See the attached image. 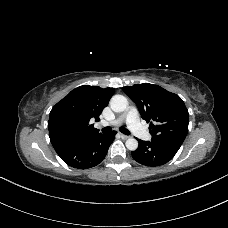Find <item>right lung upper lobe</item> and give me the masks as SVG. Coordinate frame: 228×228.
<instances>
[{"label":"right lung upper lobe","mask_w":228,"mask_h":228,"mask_svg":"<svg viewBox=\"0 0 228 228\" xmlns=\"http://www.w3.org/2000/svg\"><path fill=\"white\" fill-rule=\"evenodd\" d=\"M113 94L114 88L88 85L72 90L50 112L48 129L52 145L99 134L89 121L91 118L99 119Z\"/></svg>","instance_id":"right-lung-upper-lobe-1"}]
</instances>
